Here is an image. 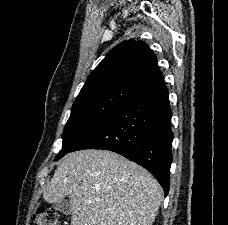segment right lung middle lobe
Returning <instances> with one entry per match:
<instances>
[{"label": "right lung middle lobe", "mask_w": 228, "mask_h": 225, "mask_svg": "<svg viewBox=\"0 0 228 225\" xmlns=\"http://www.w3.org/2000/svg\"><path fill=\"white\" fill-rule=\"evenodd\" d=\"M140 89L123 82L101 84L81 91L64 128L62 149L55 160L69 153L90 130L110 116Z\"/></svg>", "instance_id": "right-lung-middle-lobe-1"}]
</instances>
